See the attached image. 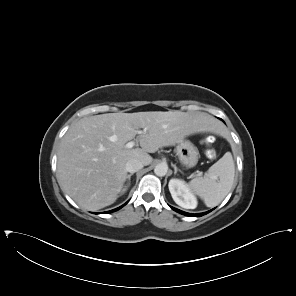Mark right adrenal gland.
Returning a JSON list of instances; mask_svg holds the SVG:
<instances>
[{
  "label": "right adrenal gland",
  "instance_id": "right-adrenal-gland-1",
  "mask_svg": "<svg viewBox=\"0 0 296 296\" xmlns=\"http://www.w3.org/2000/svg\"><path fill=\"white\" fill-rule=\"evenodd\" d=\"M134 173H131L127 176V179H128V184L130 185V180H131V176L133 175Z\"/></svg>",
  "mask_w": 296,
  "mask_h": 296
}]
</instances>
